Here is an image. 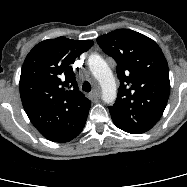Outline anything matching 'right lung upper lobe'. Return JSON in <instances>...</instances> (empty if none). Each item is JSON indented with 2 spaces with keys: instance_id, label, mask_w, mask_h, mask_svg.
<instances>
[{
  "instance_id": "obj_1",
  "label": "right lung upper lobe",
  "mask_w": 187,
  "mask_h": 187,
  "mask_svg": "<svg viewBox=\"0 0 187 187\" xmlns=\"http://www.w3.org/2000/svg\"><path fill=\"white\" fill-rule=\"evenodd\" d=\"M92 45L91 40L48 39L23 63L19 89L24 110L50 141L68 142L85 126L91 101L79 91L71 64Z\"/></svg>"
}]
</instances>
